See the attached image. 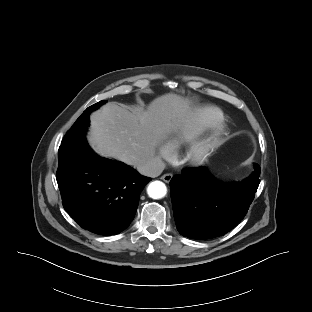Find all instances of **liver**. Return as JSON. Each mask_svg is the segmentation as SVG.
<instances>
[{
    "label": "liver",
    "instance_id": "obj_1",
    "mask_svg": "<svg viewBox=\"0 0 312 312\" xmlns=\"http://www.w3.org/2000/svg\"><path fill=\"white\" fill-rule=\"evenodd\" d=\"M192 114L190 102L173 93L156 98L146 111L137 113L109 102L91 114L87 140L99 155L136 167L155 156L162 140L187 128Z\"/></svg>",
    "mask_w": 312,
    "mask_h": 312
}]
</instances>
